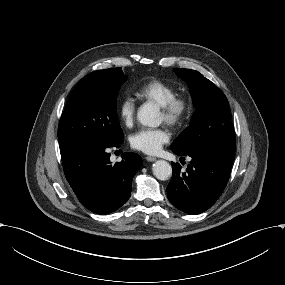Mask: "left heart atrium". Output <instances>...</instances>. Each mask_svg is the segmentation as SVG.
<instances>
[{
  "label": "left heart atrium",
  "mask_w": 285,
  "mask_h": 285,
  "mask_svg": "<svg viewBox=\"0 0 285 285\" xmlns=\"http://www.w3.org/2000/svg\"><path fill=\"white\" fill-rule=\"evenodd\" d=\"M169 132L164 127H158L154 129L145 128L130 138L131 145L148 154L156 153L161 145L168 142Z\"/></svg>",
  "instance_id": "left-heart-atrium-1"
}]
</instances>
